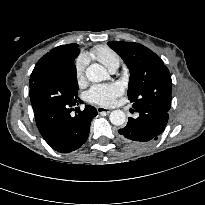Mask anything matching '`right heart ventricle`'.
Wrapping results in <instances>:
<instances>
[{"label":"right heart ventricle","mask_w":205,"mask_h":205,"mask_svg":"<svg viewBox=\"0 0 205 205\" xmlns=\"http://www.w3.org/2000/svg\"><path fill=\"white\" fill-rule=\"evenodd\" d=\"M90 56L101 62L109 70L118 68L121 63L120 56L106 45H98L94 47L90 52Z\"/></svg>","instance_id":"right-heart-ventricle-1"}]
</instances>
